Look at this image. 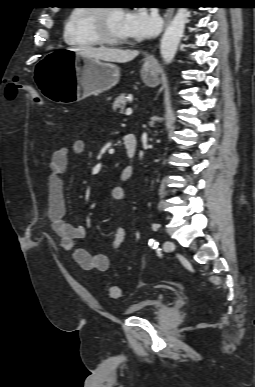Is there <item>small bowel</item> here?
<instances>
[{"mask_svg":"<svg viewBox=\"0 0 255 387\" xmlns=\"http://www.w3.org/2000/svg\"><path fill=\"white\" fill-rule=\"evenodd\" d=\"M71 151L74 154H82L85 151V143L76 140ZM70 150L61 147L55 150L48 164L47 188H48V219L51 228L60 241L61 248L70 253L75 262L86 271H106L110 264V259L106 254H90L84 248L78 246L77 240L85 236V228L82 225H75L65 219L66 202L64 195V183L62 175L68 168ZM111 197L116 201H123L125 198L122 187H114ZM126 232L123 227H118L111 242L112 250H118L124 243Z\"/></svg>","mask_w":255,"mask_h":387,"instance_id":"small-bowel-1","label":"small bowel"}]
</instances>
